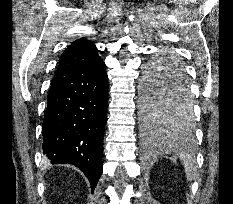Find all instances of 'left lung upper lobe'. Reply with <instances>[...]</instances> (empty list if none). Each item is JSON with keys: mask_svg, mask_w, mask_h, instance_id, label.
Returning a JSON list of instances; mask_svg holds the SVG:
<instances>
[{"mask_svg": "<svg viewBox=\"0 0 233 204\" xmlns=\"http://www.w3.org/2000/svg\"><path fill=\"white\" fill-rule=\"evenodd\" d=\"M170 71L175 74L184 73L186 76L182 64L172 54L160 55L149 63L143 78V122L189 132L194 126L189 83L178 84L174 90H170L158 82L167 78L166 74Z\"/></svg>", "mask_w": 233, "mask_h": 204, "instance_id": "left-lung-upper-lobe-1", "label": "left lung upper lobe"}]
</instances>
